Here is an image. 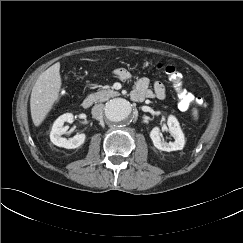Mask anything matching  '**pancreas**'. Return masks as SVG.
<instances>
[{"label":"pancreas","mask_w":243,"mask_h":243,"mask_svg":"<svg viewBox=\"0 0 243 243\" xmlns=\"http://www.w3.org/2000/svg\"><path fill=\"white\" fill-rule=\"evenodd\" d=\"M120 93L111 89L102 90L93 94H90L88 98L95 103L105 102L110 98L119 96Z\"/></svg>","instance_id":"obj_1"}]
</instances>
